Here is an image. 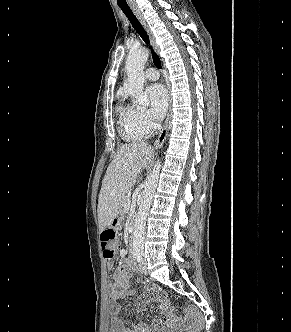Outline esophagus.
<instances>
[{"instance_id":"1","label":"esophagus","mask_w":291,"mask_h":332,"mask_svg":"<svg viewBox=\"0 0 291 332\" xmlns=\"http://www.w3.org/2000/svg\"><path fill=\"white\" fill-rule=\"evenodd\" d=\"M130 6L133 9V11L135 12L136 16L138 17V19L141 22V24L143 25V27L145 28L146 32L148 33L156 53L159 54V46L157 45L156 39H155L152 31L150 30L145 18L143 17L142 13L137 9V7L134 4H130ZM167 86H168V92H169V107H168L167 117H166L164 126H163L159 136L157 137V139L154 142L155 147H161L163 145V143L166 139V136H167L169 120L171 117L170 86H169V84Z\"/></svg>"}]
</instances>
